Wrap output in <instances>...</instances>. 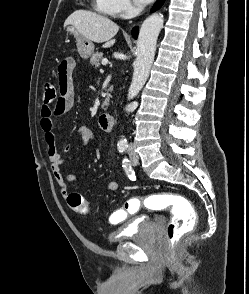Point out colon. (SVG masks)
<instances>
[{
    "instance_id": "colon-1",
    "label": "colon",
    "mask_w": 249,
    "mask_h": 294,
    "mask_svg": "<svg viewBox=\"0 0 249 294\" xmlns=\"http://www.w3.org/2000/svg\"><path fill=\"white\" fill-rule=\"evenodd\" d=\"M58 69L62 74H66L71 69L70 57L63 59ZM57 100L58 89L56 85L52 82H46L44 84L43 102L45 104H51ZM67 201L75 214H88L87 203L80 194H69ZM142 205L149 209H157L165 206H171L173 208V216L166 228V237L169 243H176L184 234L191 231L196 224V214L192 204L186 198L175 194L129 199L123 204L119 211V216L123 220L135 214Z\"/></svg>"
}]
</instances>
